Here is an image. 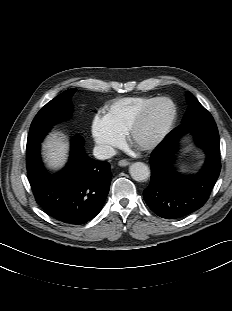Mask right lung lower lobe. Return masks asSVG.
Listing matches in <instances>:
<instances>
[{
  "label": "right lung lower lobe",
  "mask_w": 232,
  "mask_h": 311,
  "mask_svg": "<svg viewBox=\"0 0 232 311\" xmlns=\"http://www.w3.org/2000/svg\"><path fill=\"white\" fill-rule=\"evenodd\" d=\"M51 129L29 132L26 147L28 179L37 203L53 218L66 224L81 225L102 209L111 183L110 165L85 154L83 139L71 142L66 167L48 173L40 157V143Z\"/></svg>",
  "instance_id": "1"
}]
</instances>
